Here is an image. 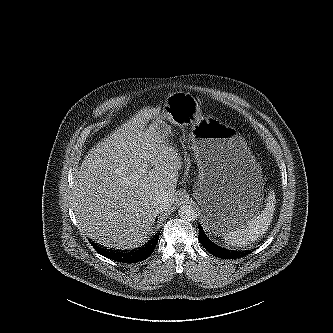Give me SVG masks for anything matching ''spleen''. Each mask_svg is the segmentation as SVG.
<instances>
[{
  "mask_svg": "<svg viewBox=\"0 0 333 333\" xmlns=\"http://www.w3.org/2000/svg\"><path fill=\"white\" fill-rule=\"evenodd\" d=\"M265 208L246 222L223 235L225 244L233 247H245L258 240L267 231L275 211V193L270 191Z\"/></svg>",
  "mask_w": 333,
  "mask_h": 333,
  "instance_id": "obj_1",
  "label": "spleen"
}]
</instances>
